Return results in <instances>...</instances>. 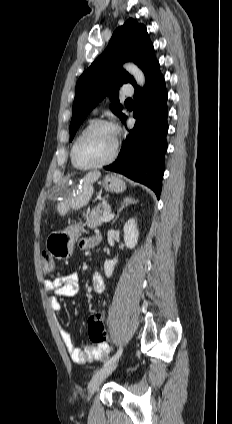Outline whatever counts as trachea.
I'll return each instance as SVG.
<instances>
[{
	"mask_svg": "<svg viewBox=\"0 0 232 424\" xmlns=\"http://www.w3.org/2000/svg\"><path fill=\"white\" fill-rule=\"evenodd\" d=\"M125 103H127V104H128V103H133V100L129 98V99H127V100L125 101Z\"/></svg>",
	"mask_w": 232,
	"mask_h": 424,
	"instance_id": "obj_1",
	"label": "trachea"
}]
</instances>
